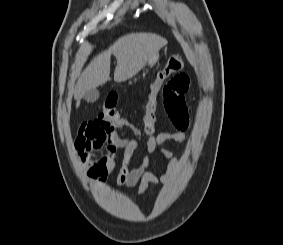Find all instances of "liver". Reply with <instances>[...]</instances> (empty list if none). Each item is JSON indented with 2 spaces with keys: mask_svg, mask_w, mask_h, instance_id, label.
Instances as JSON below:
<instances>
[{
  "mask_svg": "<svg viewBox=\"0 0 283 245\" xmlns=\"http://www.w3.org/2000/svg\"><path fill=\"white\" fill-rule=\"evenodd\" d=\"M166 44V39L152 33H131L120 37L108 50L94 57L78 78L74 93L76 105L87 90L95 89L110 79L112 54L117 60L114 80L123 82L135 76Z\"/></svg>",
  "mask_w": 283,
  "mask_h": 245,
  "instance_id": "obj_1",
  "label": "liver"
}]
</instances>
